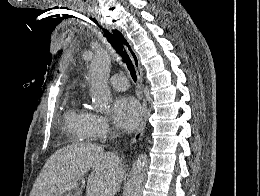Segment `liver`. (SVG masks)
Masks as SVG:
<instances>
[{
  "mask_svg": "<svg viewBox=\"0 0 260 196\" xmlns=\"http://www.w3.org/2000/svg\"><path fill=\"white\" fill-rule=\"evenodd\" d=\"M90 170L86 196H115L125 178L124 164L119 156L105 152L96 144H72L52 154L33 184L30 196H59L60 188L77 184ZM81 194L79 190L75 196Z\"/></svg>",
  "mask_w": 260,
  "mask_h": 196,
  "instance_id": "obj_1",
  "label": "liver"
}]
</instances>
